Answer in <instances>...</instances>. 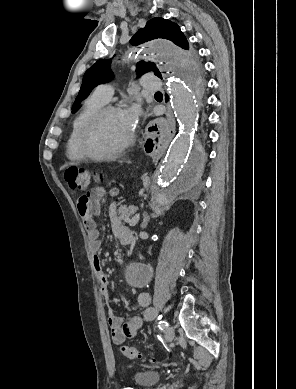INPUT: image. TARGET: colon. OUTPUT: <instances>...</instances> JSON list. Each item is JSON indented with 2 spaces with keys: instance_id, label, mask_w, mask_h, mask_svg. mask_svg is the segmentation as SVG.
<instances>
[{
  "instance_id": "obj_1",
  "label": "colon",
  "mask_w": 296,
  "mask_h": 389,
  "mask_svg": "<svg viewBox=\"0 0 296 389\" xmlns=\"http://www.w3.org/2000/svg\"><path fill=\"white\" fill-rule=\"evenodd\" d=\"M65 180L68 183L69 187L73 190H82L84 189L92 178L98 180L99 177L92 176L91 173L83 168V167H77L73 166L68 168L65 171ZM121 351L123 355L129 359H141L142 354L138 349L132 346H123L121 348Z\"/></svg>"
}]
</instances>
